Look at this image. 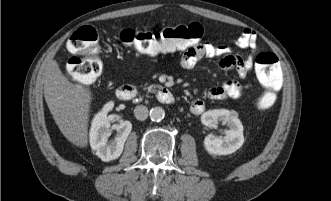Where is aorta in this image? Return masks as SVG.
Wrapping results in <instances>:
<instances>
[{"instance_id":"1","label":"aorta","mask_w":331,"mask_h":201,"mask_svg":"<svg viewBox=\"0 0 331 201\" xmlns=\"http://www.w3.org/2000/svg\"><path fill=\"white\" fill-rule=\"evenodd\" d=\"M150 119L154 122H160L165 118V111L162 107H154L149 113Z\"/></svg>"}]
</instances>
